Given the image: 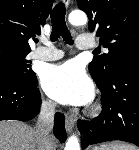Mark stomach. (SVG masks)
I'll use <instances>...</instances> for the list:
<instances>
[{
	"mask_svg": "<svg viewBox=\"0 0 139 150\" xmlns=\"http://www.w3.org/2000/svg\"><path fill=\"white\" fill-rule=\"evenodd\" d=\"M91 150H111V148L108 145H101V146L94 147Z\"/></svg>",
	"mask_w": 139,
	"mask_h": 150,
	"instance_id": "stomach-1",
	"label": "stomach"
}]
</instances>
